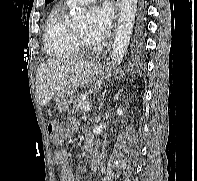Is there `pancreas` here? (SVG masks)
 Returning a JSON list of instances; mask_svg holds the SVG:
<instances>
[{
    "instance_id": "cf45deb5",
    "label": "pancreas",
    "mask_w": 197,
    "mask_h": 181,
    "mask_svg": "<svg viewBox=\"0 0 197 181\" xmlns=\"http://www.w3.org/2000/svg\"><path fill=\"white\" fill-rule=\"evenodd\" d=\"M88 104L87 95H79L74 97L73 109L76 111L82 110L85 105Z\"/></svg>"
}]
</instances>
